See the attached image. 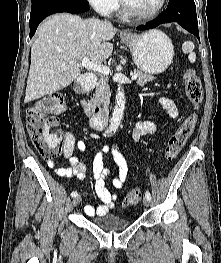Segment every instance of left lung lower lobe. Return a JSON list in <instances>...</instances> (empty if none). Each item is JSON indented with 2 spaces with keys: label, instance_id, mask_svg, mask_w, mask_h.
<instances>
[{
  "label": "left lung lower lobe",
  "instance_id": "obj_1",
  "mask_svg": "<svg viewBox=\"0 0 221 263\" xmlns=\"http://www.w3.org/2000/svg\"><path fill=\"white\" fill-rule=\"evenodd\" d=\"M177 22L190 33L199 39L198 22L196 15V5L194 0H169L168 8L161 15L140 25L137 30H148L155 28L162 23Z\"/></svg>",
  "mask_w": 221,
  "mask_h": 263
}]
</instances>
